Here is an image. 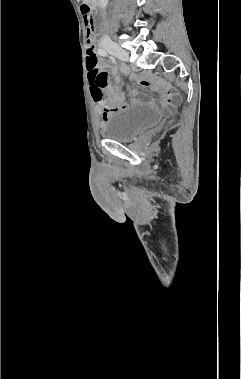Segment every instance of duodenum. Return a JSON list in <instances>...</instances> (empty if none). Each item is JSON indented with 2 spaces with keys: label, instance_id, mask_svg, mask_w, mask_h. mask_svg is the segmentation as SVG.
<instances>
[{
  "label": "duodenum",
  "instance_id": "obj_1",
  "mask_svg": "<svg viewBox=\"0 0 241 379\" xmlns=\"http://www.w3.org/2000/svg\"><path fill=\"white\" fill-rule=\"evenodd\" d=\"M97 1L98 0H88V5H83V6H86V8L88 10L87 11L88 18L91 17V15H90V7H94L97 4Z\"/></svg>",
  "mask_w": 241,
  "mask_h": 379
}]
</instances>
